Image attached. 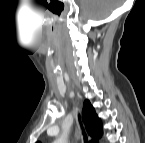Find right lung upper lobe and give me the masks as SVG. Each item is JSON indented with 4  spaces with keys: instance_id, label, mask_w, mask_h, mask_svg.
Masks as SVG:
<instances>
[{
    "instance_id": "cb5924a9",
    "label": "right lung upper lobe",
    "mask_w": 145,
    "mask_h": 143,
    "mask_svg": "<svg viewBox=\"0 0 145 143\" xmlns=\"http://www.w3.org/2000/svg\"><path fill=\"white\" fill-rule=\"evenodd\" d=\"M82 119L87 133L92 138L91 143H96L102 134V124L101 120L96 115L93 106L88 100H85L84 102Z\"/></svg>"
}]
</instances>
